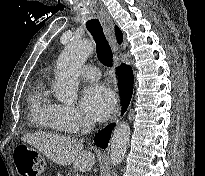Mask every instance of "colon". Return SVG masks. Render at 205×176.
<instances>
[{
    "mask_svg": "<svg viewBox=\"0 0 205 176\" xmlns=\"http://www.w3.org/2000/svg\"><path fill=\"white\" fill-rule=\"evenodd\" d=\"M14 163L21 176H40L45 168L44 159L40 154L27 147L15 149Z\"/></svg>",
    "mask_w": 205,
    "mask_h": 176,
    "instance_id": "obj_1",
    "label": "colon"
}]
</instances>
